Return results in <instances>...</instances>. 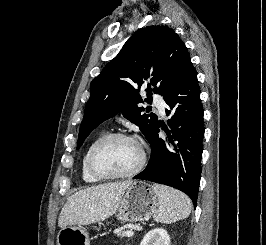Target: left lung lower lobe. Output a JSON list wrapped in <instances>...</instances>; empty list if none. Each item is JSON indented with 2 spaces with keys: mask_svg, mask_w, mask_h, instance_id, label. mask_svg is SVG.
Here are the masks:
<instances>
[{
  "mask_svg": "<svg viewBox=\"0 0 266 245\" xmlns=\"http://www.w3.org/2000/svg\"><path fill=\"white\" fill-rule=\"evenodd\" d=\"M163 96L170 108L166 113L171 114L167 121L170 127V130L166 129L168 138H159L160 123L157 121L148 138L151 145L149 163L133 178L179 189L196 206L201 177L204 110L197 72L190 57L184 60Z\"/></svg>",
  "mask_w": 266,
  "mask_h": 245,
  "instance_id": "obj_1",
  "label": "left lung lower lobe"
}]
</instances>
